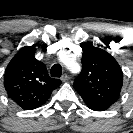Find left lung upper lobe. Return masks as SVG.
Wrapping results in <instances>:
<instances>
[{
    "instance_id": "5c2ea615",
    "label": "left lung upper lobe",
    "mask_w": 133,
    "mask_h": 133,
    "mask_svg": "<svg viewBox=\"0 0 133 133\" xmlns=\"http://www.w3.org/2000/svg\"><path fill=\"white\" fill-rule=\"evenodd\" d=\"M82 49V71L74 81V88L90 109L107 110L119 98L122 70L105 50L93 45L82 46Z\"/></svg>"
}]
</instances>
